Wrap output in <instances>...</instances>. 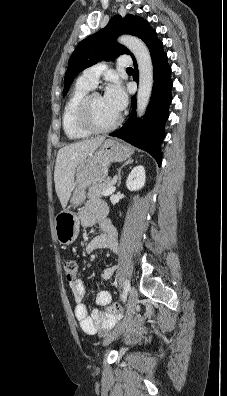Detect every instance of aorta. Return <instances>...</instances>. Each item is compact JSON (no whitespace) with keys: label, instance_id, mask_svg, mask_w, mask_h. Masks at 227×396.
Returning <instances> with one entry per match:
<instances>
[{"label":"aorta","instance_id":"1","mask_svg":"<svg viewBox=\"0 0 227 396\" xmlns=\"http://www.w3.org/2000/svg\"><path fill=\"white\" fill-rule=\"evenodd\" d=\"M118 42L126 46L135 56L139 70L137 93V115L145 114L153 88V64L150 52L142 40L131 35H122Z\"/></svg>","mask_w":227,"mask_h":396}]
</instances>
